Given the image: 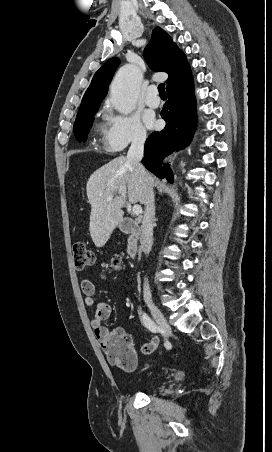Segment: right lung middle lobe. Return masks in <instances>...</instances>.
Here are the masks:
<instances>
[{"label":"right lung middle lobe","mask_w":272,"mask_h":452,"mask_svg":"<svg viewBox=\"0 0 272 452\" xmlns=\"http://www.w3.org/2000/svg\"><path fill=\"white\" fill-rule=\"evenodd\" d=\"M100 105H94L90 107H85L79 109V112L76 117V121L74 124V133L76 139L79 142H85L87 139V135L90 127L93 123V115L97 111Z\"/></svg>","instance_id":"obj_1"}]
</instances>
